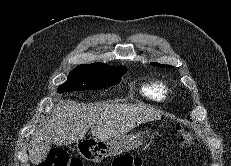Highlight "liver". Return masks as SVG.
Returning <instances> with one entry per match:
<instances>
[{
  "label": "liver",
  "mask_w": 231,
  "mask_h": 166,
  "mask_svg": "<svg viewBox=\"0 0 231 166\" xmlns=\"http://www.w3.org/2000/svg\"><path fill=\"white\" fill-rule=\"evenodd\" d=\"M159 110L145 104H80L66 100L56 105L46 125L30 140L28 152L32 164L44 161L51 144L67 145L84 139L88 129L98 140L124 136L138 125L159 120Z\"/></svg>",
  "instance_id": "obj_1"
}]
</instances>
